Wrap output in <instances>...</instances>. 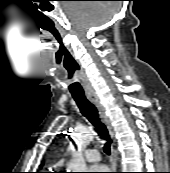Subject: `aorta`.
<instances>
[{"mask_svg":"<svg viewBox=\"0 0 170 173\" xmlns=\"http://www.w3.org/2000/svg\"><path fill=\"white\" fill-rule=\"evenodd\" d=\"M92 135L91 130L84 129L75 135L74 140L79 147H84L89 143ZM69 170L70 172H86V164L82 152L78 151L72 153Z\"/></svg>","mask_w":170,"mask_h":173,"instance_id":"1","label":"aorta"}]
</instances>
